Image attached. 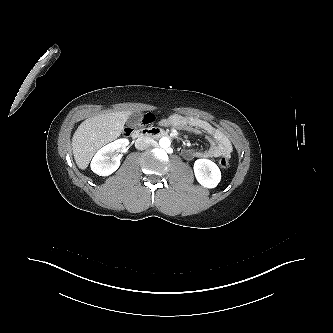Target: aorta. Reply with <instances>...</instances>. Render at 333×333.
<instances>
[{
	"instance_id": "762f6f07",
	"label": "aorta",
	"mask_w": 333,
	"mask_h": 333,
	"mask_svg": "<svg viewBox=\"0 0 333 333\" xmlns=\"http://www.w3.org/2000/svg\"><path fill=\"white\" fill-rule=\"evenodd\" d=\"M170 145H171V142H170V139L169 138H167V137H162L160 140H159V146L161 147V148H168V147H170Z\"/></svg>"
}]
</instances>
